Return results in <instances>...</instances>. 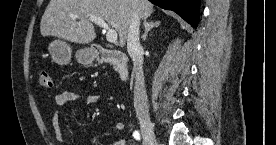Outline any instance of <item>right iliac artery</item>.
<instances>
[{"label":"right iliac artery","instance_id":"1","mask_svg":"<svg viewBox=\"0 0 276 145\" xmlns=\"http://www.w3.org/2000/svg\"><path fill=\"white\" fill-rule=\"evenodd\" d=\"M133 137L136 139V140H140V133L138 131H134L133 132Z\"/></svg>","mask_w":276,"mask_h":145}]
</instances>
